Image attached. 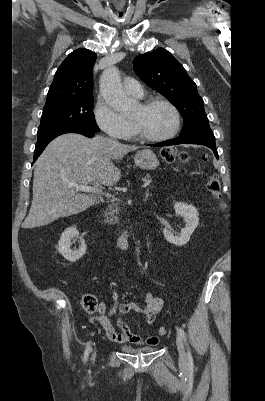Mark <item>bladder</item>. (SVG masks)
Instances as JSON below:
<instances>
[{
	"label": "bladder",
	"instance_id": "obj_1",
	"mask_svg": "<svg viewBox=\"0 0 265 401\" xmlns=\"http://www.w3.org/2000/svg\"><path fill=\"white\" fill-rule=\"evenodd\" d=\"M155 347H146L143 349L135 348V347H122V350L127 351L129 353H134V352H148V351H153Z\"/></svg>",
	"mask_w": 265,
	"mask_h": 401
}]
</instances>
